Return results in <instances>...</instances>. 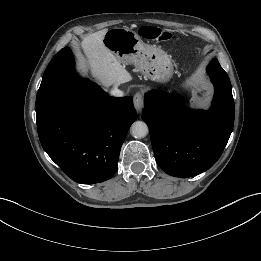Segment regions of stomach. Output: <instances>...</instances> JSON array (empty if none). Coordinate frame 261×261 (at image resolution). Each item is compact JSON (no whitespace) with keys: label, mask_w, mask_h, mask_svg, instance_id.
<instances>
[{"label":"stomach","mask_w":261,"mask_h":261,"mask_svg":"<svg viewBox=\"0 0 261 261\" xmlns=\"http://www.w3.org/2000/svg\"><path fill=\"white\" fill-rule=\"evenodd\" d=\"M103 44L120 63L133 64L145 78L161 84L168 83L172 78L170 56L156 46L145 44L129 28L115 27L107 30Z\"/></svg>","instance_id":"1"}]
</instances>
